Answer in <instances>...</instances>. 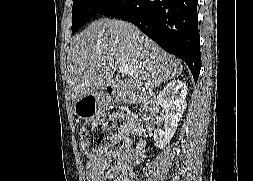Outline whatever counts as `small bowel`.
Masks as SVG:
<instances>
[{
	"label": "small bowel",
	"instance_id": "1",
	"mask_svg": "<svg viewBox=\"0 0 253 181\" xmlns=\"http://www.w3.org/2000/svg\"><path fill=\"white\" fill-rule=\"evenodd\" d=\"M144 147L143 141L135 145L131 138L124 136L118 149L99 154L87 162L89 181H126L133 166L144 159Z\"/></svg>",
	"mask_w": 253,
	"mask_h": 181
}]
</instances>
